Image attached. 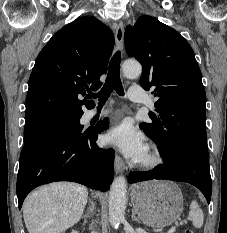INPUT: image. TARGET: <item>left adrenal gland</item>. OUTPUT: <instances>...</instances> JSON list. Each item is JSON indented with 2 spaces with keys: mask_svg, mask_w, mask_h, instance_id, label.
Masks as SVG:
<instances>
[{
  "mask_svg": "<svg viewBox=\"0 0 227 233\" xmlns=\"http://www.w3.org/2000/svg\"><path fill=\"white\" fill-rule=\"evenodd\" d=\"M131 218H132L133 221H136V222L140 223L139 219L135 215L134 210H132V216H131Z\"/></svg>",
  "mask_w": 227,
  "mask_h": 233,
  "instance_id": "1",
  "label": "left adrenal gland"
}]
</instances>
